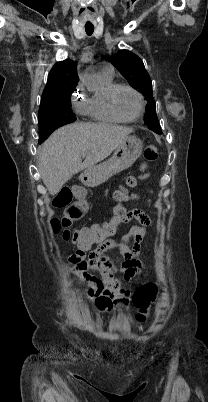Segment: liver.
I'll return each instance as SVG.
<instances>
[{
  "label": "liver",
  "mask_w": 208,
  "mask_h": 402,
  "mask_svg": "<svg viewBox=\"0 0 208 402\" xmlns=\"http://www.w3.org/2000/svg\"><path fill=\"white\" fill-rule=\"evenodd\" d=\"M132 128L113 124H69L56 130L39 148L38 168L51 196L85 168H94L125 142ZM82 154H87L81 162Z\"/></svg>",
  "instance_id": "6515ba94"
}]
</instances>
